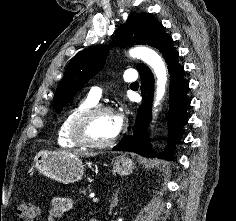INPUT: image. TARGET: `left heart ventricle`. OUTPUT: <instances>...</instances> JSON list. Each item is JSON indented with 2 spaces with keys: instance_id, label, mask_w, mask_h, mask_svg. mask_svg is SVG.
<instances>
[{
  "instance_id": "1",
  "label": "left heart ventricle",
  "mask_w": 236,
  "mask_h": 221,
  "mask_svg": "<svg viewBox=\"0 0 236 221\" xmlns=\"http://www.w3.org/2000/svg\"><path fill=\"white\" fill-rule=\"evenodd\" d=\"M117 134L113 114L101 113L92 119L88 135L95 141H107Z\"/></svg>"
}]
</instances>
